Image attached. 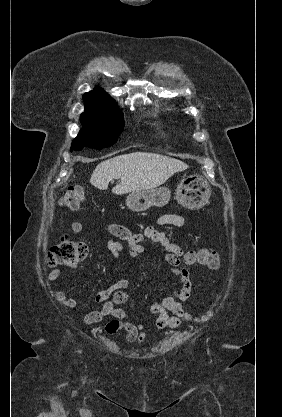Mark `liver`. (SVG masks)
Returning <instances> with one entry per match:
<instances>
[{
	"label": "liver",
	"mask_w": 282,
	"mask_h": 417,
	"mask_svg": "<svg viewBox=\"0 0 282 417\" xmlns=\"http://www.w3.org/2000/svg\"><path fill=\"white\" fill-rule=\"evenodd\" d=\"M185 168H188V164L171 156L157 152H130L99 162L91 174L90 182L96 188L106 190L112 178H120L112 192L125 194L155 188Z\"/></svg>",
	"instance_id": "liver-1"
}]
</instances>
